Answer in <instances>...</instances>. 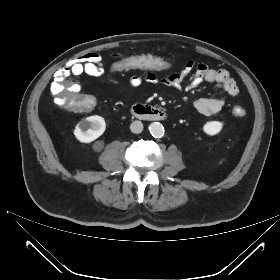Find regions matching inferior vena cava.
I'll return each instance as SVG.
<instances>
[{
  "instance_id": "inferior-vena-cava-1",
  "label": "inferior vena cava",
  "mask_w": 280,
  "mask_h": 280,
  "mask_svg": "<svg viewBox=\"0 0 280 280\" xmlns=\"http://www.w3.org/2000/svg\"><path fill=\"white\" fill-rule=\"evenodd\" d=\"M130 130L132 133L139 134L143 131V124L141 121H134L130 125Z\"/></svg>"
}]
</instances>
